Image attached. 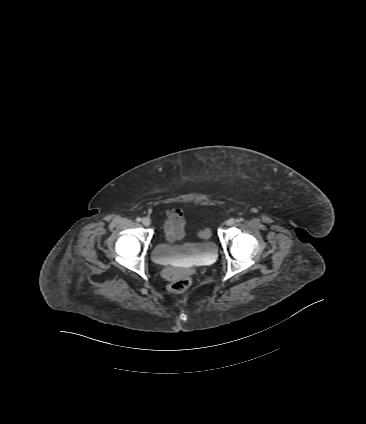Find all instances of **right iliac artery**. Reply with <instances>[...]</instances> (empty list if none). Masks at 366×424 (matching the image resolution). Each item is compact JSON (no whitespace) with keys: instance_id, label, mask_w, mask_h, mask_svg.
<instances>
[{"instance_id":"right-iliac-artery-1","label":"right iliac artery","mask_w":366,"mask_h":424,"mask_svg":"<svg viewBox=\"0 0 366 424\" xmlns=\"http://www.w3.org/2000/svg\"><path fill=\"white\" fill-rule=\"evenodd\" d=\"M136 221L140 222L141 221V218L140 217L136 218Z\"/></svg>"}]
</instances>
